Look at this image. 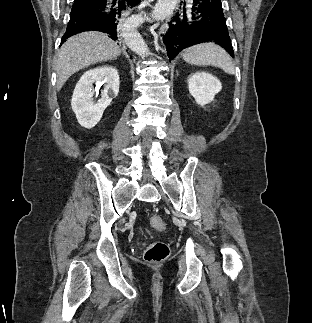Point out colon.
Masks as SVG:
<instances>
[{"label": "colon", "mask_w": 312, "mask_h": 323, "mask_svg": "<svg viewBox=\"0 0 312 323\" xmlns=\"http://www.w3.org/2000/svg\"><path fill=\"white\" fill-rule=\"evenodd\" d=\"M150 224L156 231H164L166 229L165 223L158 215H152L150 218ZM169 255V247L163 242H154L150 244L145 253L144 260L147 263L157 264L165 261Z\"/></svg>", "instance_id": "5ec220e1"}]
</instances>
